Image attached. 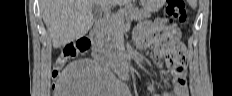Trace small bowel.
I'll return each mask as SVG.
<instances>
[{"label":"small bowel","instance_id":"1","mask_svg":"<svg viewBox=\"0 0 232 96\" xmlns=\"http://www.w3.org/2000/svg\"><path fill=\"white\" fill-rule=\"evenodd\" d=\"M156 18L157 20H161L156 25H154V23L151 21H142L136 26L134 30L135 43L139 45L160 43V39H164V35H168L170 33L167 29L170 28L172 30L174 28L170 22L168 24L166 23V15H157ZM175 44L179 48V54L177 55L176 61L178 65L183 67L186 59L185 55L183 54V48L178 41H176ZM156 57H162V52L157 51ZM171 72L173 74V95L186 96L187 86L184 76V68L182 72L176 73L175 68L172 66ZM164 95L167 96L168 94L164 93Z\"/></svg>","mask_w":232,"mask_h":96}]
</instances>
